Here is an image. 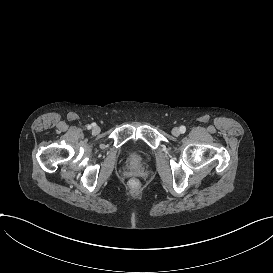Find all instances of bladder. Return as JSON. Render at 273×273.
<instances>
[{"label": "bladder", "mask_w": 273, "mask_h": 273, "mask_svg": "<svg viewBox=\"0 0 273 273\" xmlns=\"http://www.w3.org/2000/svg\"><path fill=\"white\" fill-rule=\"evenodd\" d=\"M124 154L128 164L134 167L144 165L150 158L149 151L140 149L136 144L126 147Z\"/></svg>", "instance_id": "bladder-1"}]
</instances>
